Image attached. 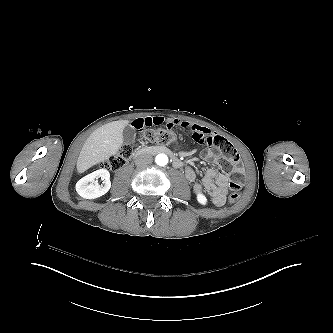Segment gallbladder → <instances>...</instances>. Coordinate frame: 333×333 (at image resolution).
<instances>
[{"mask_svg":"<svg viewBox=\"0 0 333 333\" xmlns=\"http://www.w3.org/2000/svg\"><path fill=\"white\" fill-rule=\"evenodd\" d=\"M124 142L128 145H131L135 142L136 139V130L131 125L124 127L123 129Z\"/></svg>","mask_w":333,"mask_h":333,"instance_id":"bac80fb5","label":"gallbladder"}]
</instances>
